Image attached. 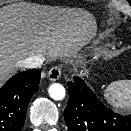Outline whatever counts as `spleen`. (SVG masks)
Wrapping results in <instances>:
<instances>
[{"label":"spleen","instance_id":"3e777b00","mask_svg":"<svg viewBox=\"0 0 131 131\" xmlns=\"http://www.w3.org/2000/svg\"><path fill=\"white\" fill-rule=\"evenodd\" d=\"M105 98L117 108L131 107V80H119L109 84Z\"/></svg>","mask_w":131,"mask_h":131}]
</instances>
